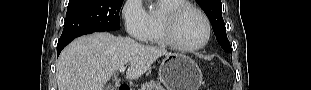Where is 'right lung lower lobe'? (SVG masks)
Masks as SVG:
<instances>
[{
    "instance_id": "98d812e1",
    "label": "right lung lower lobe",
    "mask_w": 311,
    "mask_h": 90,
    "mask_svg": "<svg viewBox=\"0 0 311 90\" xmlns=\"http://www.w3.org/2000/svg\"><path fill=\"white\" fill-rule=\"evenodd\" d=\"M89 34V33H88ZM78 37V36H77ZM76 38V37H75ZM74 38L64 41V42H58L57 45V56L60 54L61 50L67 45L69 44Z\"/></svg>"
}]
</instances>
